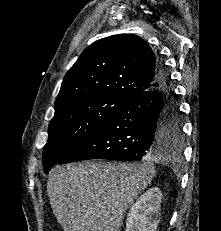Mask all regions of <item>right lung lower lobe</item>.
<instances>
[{
    "label": "right lung lower lobe",
    "mask_w": 221,
    "mask_h": 231,
    "mask_svg": "<svg viewBox=\"0 0 221 231\" xmlns=\"http://www.w3.org/2000/svg\"><path fill=\"white\" fill-rule=\"evenodd\" d=\"M156 85L127 99L102 125L58 164L88 159L138 161L176 148L164 137L170 110L177 108L169 76L160 61Z\"/></svg>",
    "instance_id": "1"
}]
</instances>
